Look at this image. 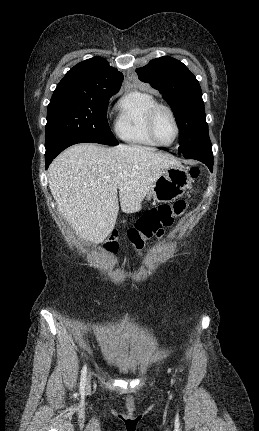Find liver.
Masks as SVG:
<instances>
[{
  "label": "liver",
  "instance_id": "1",
  "mask_svg": "<svg viewBox=\"0 0 259 431\" xmlns=\"http://www.w3.org/2000/svg\"><path fill=\"white\" fill-rule=\"evenodd\" d=\"M180 162L140 145L83 143L62 152L49 167L57 208L73 230L98 244L114 229L119 205L134 212L166 169Z\"/></svg>",
  "mask_w": 259,
  "mask_h": 431
}]
</instances>
